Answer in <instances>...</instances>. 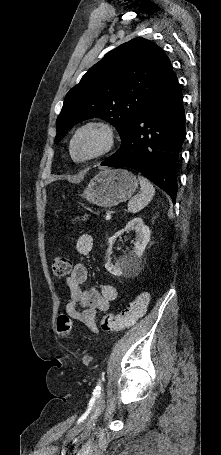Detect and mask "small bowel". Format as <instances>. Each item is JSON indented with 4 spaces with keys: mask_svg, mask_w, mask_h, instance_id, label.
I'll list each match as a JSON object with an SVG mask.
<instances>
[{
    "mask_svg": "<svg viewBox=\"0 0 221 455\" xmlns=\"http://www.w3.org/2000/svg\"><path fill=\"white\" fill-rule=\"evenodd\" d=\"M94 245L93 237L88 233L81 234L76 240V250L82 256L91 253ZM88 268L83 263H76L66 279L69 299L65 306L66 314L90 328L98 331L97 314L107 312L111 302L116 298L117 291L110 284H102L99 289L87 287Z\"/></svg>",
    "mask_w": 221,
    "mask_h": 455,
    "instance_id": "1",
    "label": "small bowel"
}]
</instances>
